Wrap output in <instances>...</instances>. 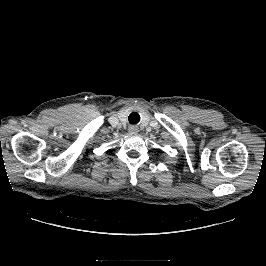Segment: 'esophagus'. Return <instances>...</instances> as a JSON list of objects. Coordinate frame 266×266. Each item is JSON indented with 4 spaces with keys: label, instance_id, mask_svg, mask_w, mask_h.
I'll list each match as a JSON object with an SVG mask.
<instances>
[{
    "label": "esophagus",
    "instance_id": "34e87169",
    "mask_svg": "<svg viewBox=\"0 0 266 266\" xmlns=\"http://www.w3.org/2000/svg\"><path fill=\"white\" fill-rule=\"evenodd\" d=\"M138 127L137 126H130L129 127V133L130 134H137L138 133Z\"/></svg>",
    "mask_w": 266,
    "mask_h": 266
}]
</instances>
